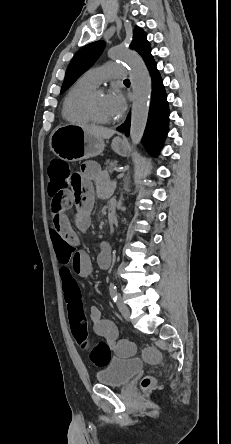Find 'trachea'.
I'll list each match as a JSON object with an SVG mask.
<instances>
[{
  "label": "trachea",
  "mask_w": 231,
  "mask_h": 444,
  "mask_svg": "<svg viewBox=\"0 0 231 444\" xmlns=\"http://www.w3.org/2000/svg\"><path fill=\"white\" fill-rule=\"evenodd\" d=\"M124 81H129V79H125Z\"/></svg>",
  "instance_id": "1"
}]
</instances>
